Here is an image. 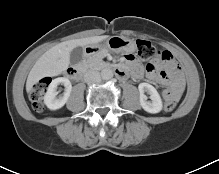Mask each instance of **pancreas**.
Listing matches in <instances>:
<instances>
[{"label":"pancreas","mask_w":219,"mask_h":174,"mask_svg":"<svg viewBox=\"0 0 219 174\" xmlns=\"http://www.w3.org/2000/svg\"><path fill=\"white\" fill-rule=\"evenodd\" d=\"M106 51H101L99 53H96L95 55L89 57L84 62V67L88 69H101L103 66L106 65V63L103 61V58L106 56Z\"/></svg>","instance_id":"obj_1"}]
</instances>
